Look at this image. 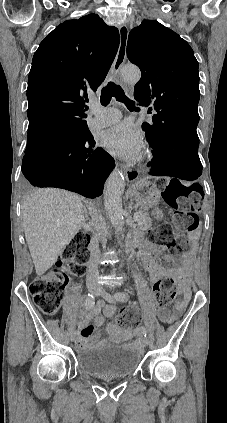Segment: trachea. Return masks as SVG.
Masks as SVG:
<instances>
[{
  "instance_id": "trachea-1",
  "label": "trachea",
  "mask_w": 227,
  "mask_h": 423,
  "mask_svg": "<svg viewBox=\"0 0 227 423\" xmlns=\"http://www.w3.org/2000/svg\"><path fill=\"white\" fill-rule=\"evenodd\" d=\"M112 97H115L117 102L124 103L130 111L139 110L138 107L135 106V102L126 97L124 90L120 87V85H116L114 82H109L104 88H102L100 97L101 104L106 107L109 105Z\"/></svg>"
}]
</instances>
